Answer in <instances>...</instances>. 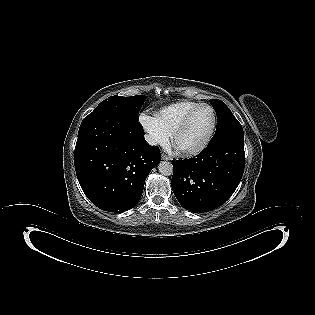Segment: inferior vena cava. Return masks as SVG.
<instances>
[{"label":"inferior vena cava","mask_w":315,"mask_h":315,"mask_svg":"<svg viewBox=\"0 0 315 315\" xmlns=\"http://www.w3.org/2000/svg\"><path fill=\"white\" fill-rule=\"evenodd\" d=\"M145 140L150 145H155L156 144L154 138L152 136H150V135H145Z\"/></svg>","instance_id":"obj_1"}]
</instances>
